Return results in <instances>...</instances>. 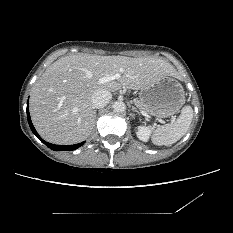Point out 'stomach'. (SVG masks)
Masks as SVG:
<instances>
[{"label": "stomach", "mask_w": 233, "mask_h": 233, "mask_svg": "<svg viewBox=\"0 0 233 233\" xmlns=\"http://www.w3.org/2000/svg\"><path fill=\"white\" fill-rule=\"evenodd\" d=\"M140 101L146 112L158 118L175 114L184 104L185 92L182 85L172 77H165L154 85L142 89Z\"/></svg>", "instance_id": "stomach-1"}]
</instances>
